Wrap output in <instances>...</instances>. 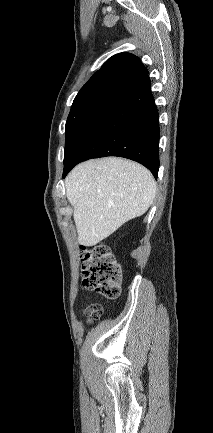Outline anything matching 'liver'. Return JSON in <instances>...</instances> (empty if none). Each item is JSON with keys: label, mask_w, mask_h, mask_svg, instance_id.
Listing matches in <instances>:
<instances>
[{"label": "liver", "mask_w": 213, "mask_h": 433, "mask_svg": "<svg viewBox=\"0 0 213 433\" xmlns=\"http://www.w3.org/2000/svg\"><path fill=\"white\" fill-rule=\"evenodd\" d=\"M78 241L94 246L153 203L156 182L144 166L107 157L77 165L66 177Z\"/></svg>", "instance_id": "1"}]
</instances>
